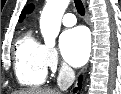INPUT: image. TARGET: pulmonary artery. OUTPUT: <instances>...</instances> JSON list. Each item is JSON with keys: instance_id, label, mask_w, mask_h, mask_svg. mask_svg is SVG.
<instances>
[{"instance_id": "obj_1", "label": "pulmonary artery", "mask_w": 121, "mask_h": 94, "mask_svg": "<svg viewBox=\"0 0 121 94\" xmlns=\"http://www.w3.org/2000/svg\"><path fill=\"white\" fill-rule=\"evenodd\" d=\"M62 22L65 26H73L76 24L77 20L74 14L72 13H66L63 18H62Z\"/></svg>"}]
</instances>
